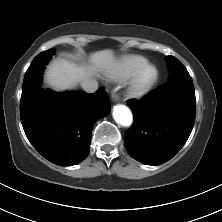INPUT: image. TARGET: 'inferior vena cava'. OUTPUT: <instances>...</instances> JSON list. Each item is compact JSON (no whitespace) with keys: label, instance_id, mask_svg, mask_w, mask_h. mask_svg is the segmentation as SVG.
I'll use <instances>...</instances> for the list:
<instances>
[{"label":"inferior vena cava","instance_id":"1","mask_svg":"<svg viewBox=\"0 0 222 222\" xmlns=\"http://www.w3.org/2000/svg\"><path fill=\"white\" fill-rule=\"evenodd\" d=\"M81 87L87 93H94L98 89V82L93 79H86L81 82Z\"/></svg>","mask_w":222,"mask_h":222}]
</instances>
